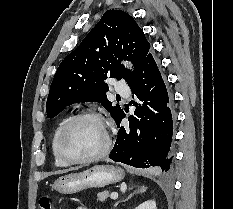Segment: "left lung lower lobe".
Segmentation results:
<instances>
[{
  "mask_svg": "<svg viewBox=\"0 0 233 209\" xmlns=\"http://www.w3.org/2000/svg\"><path fill=\"white\" fill-rule=\"evenodd\" d=\"M128 85L143 103L135 102L137 106L134 115L128 118V128L120 125L124 111L115 120L120 129L109 158L137 168L167 172L173 160L170 152L173 118L165 83L151 53Z\"/></svg>",
  "mask_w": 233,
  "mask_h": 209,
  "instance_id": "0a47b994",
  "label": "left lung lower lobe"
}]
</instances>
